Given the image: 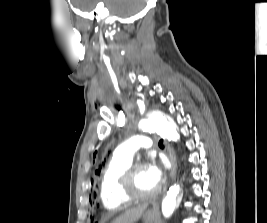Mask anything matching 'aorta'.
Wrapping results in <instances>:
<instances>
[{
    "mask_svg": "<svg viewBox=\"0 0 267 223\" xmlns=\"http://www.w3.org/2000/svg\"><path fill=\"white\" fill-rule=\"evenodd\" d=\"M139 128L143 131H152L160 134L168 141L177 142L180 135L176 124L169 117L163 115H153L142 120L139 123ZM182 200V193L179 184H174L169 187L166 195L162 199V213L168 219L173 214L174 210L179 206Z\"/></svg>",
    "mask_w": 267,
    "mask_h": 223,
    "instance_id": "762f6f07",
    "label": "aorta"
}]
</instances>
